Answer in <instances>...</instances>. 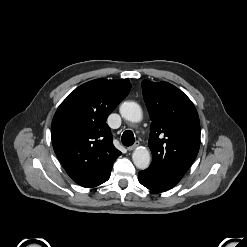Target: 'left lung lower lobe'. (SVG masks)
Segmentation results:
<instances>
[{
  "label": "left lung lower lobe",
  "mask_w": 247,
  "mask_h": 247,
  "mask_svg": "<svg viewBox=\"0 0 247 247\" xmlns=\"http://www.w3.org/2000/svg\"><path fill=\"white\" fill-rule=\"evenodd\" d=\"M138 180L143 186L156 192H164L175 186V184L147 169L139 172Z\"/></svg>",
  "instance_id": "1"
}]
</instances>
